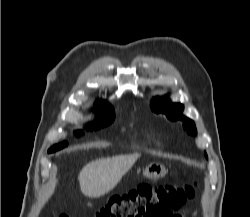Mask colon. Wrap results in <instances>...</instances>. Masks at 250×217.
<instances>
[{"label":"colon","instance_id":"obj_1","mask_svg":"<svg viewBox=\"0 0 250 217\" xmlns=\"http://www.w3.org/2000/svg\"><path fill=\"white\" fill-rule=\"evenodd\" d=\"M193 193L191 184H141L134 190L113 197L97 211L95 217H179L175 211L184 206ZM58 217L68 216L61 214Z\"/></svg>","mask_w":250,"mask_h":217}]
</instances>
